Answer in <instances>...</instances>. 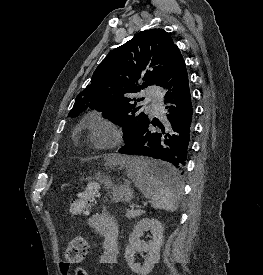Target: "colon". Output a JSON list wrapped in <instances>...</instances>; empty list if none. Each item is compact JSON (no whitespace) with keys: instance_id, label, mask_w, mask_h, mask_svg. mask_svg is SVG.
Masks as SVG:
<instances>
[{"instance_id":"colon-1","label":"colon","mask_w":263,"mask_h":275,"mask_svg":"<svg viewBox=\"0 0 263 275\" xmlns=\"http://www.w3.org/2000/svg\"><path fill=\"white\" fill-rule=\"evenodd\" d=\"M99 192V184L96 181H90L80 196L70 204V213L73 216L86 214L91 208L95 197ZM88 242L83 237L72 239L65 250V259L61 263L64 268H69L71 264L82 262L88 254ZM75 275H87L83 268H77Z\"/></svg>"}]
</instances>
